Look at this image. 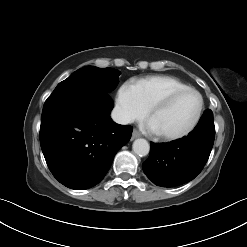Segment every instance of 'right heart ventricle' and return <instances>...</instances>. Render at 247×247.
<instances>
[{
  "mask_svg": "<svg viewBox=\"0 0 247 247\" xmlns=\"http://www.w3.org/2000/svg\"><path fill=\"white\" fill-rule=\"evenodd\" d=\"M134 85L137 88L142 104L146 109H149L153 103L167 93L189 87L181 80L166 75L149 76L137 81Z\"/></svg>",
  "mask_w": 247,
  "mask_h": 247,
  "instance_id": "right-heart-ventricle-1",
  "label": "right heart ventricle"
}]
</instances>
